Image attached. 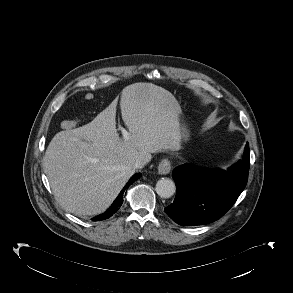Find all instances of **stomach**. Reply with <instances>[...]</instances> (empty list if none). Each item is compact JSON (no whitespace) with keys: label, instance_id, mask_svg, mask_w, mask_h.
I'll return each instance as SVG.
<instances>
[{"label":"stomach","instance_id":"0dacf381","mask_svg":"<svg viewBox=\"0 0 293 293\" xmlns=\"http://www.w3.org/2000/svg\"><path fill=\"white\" fill-rule=\"evenodd\" d=\"M178 107H179V115H180L181 114V109H180L179 105H178ZM180 130H181V132H180L181 133V139L187 141L189 139V136H190L189 130L184 125H180Z\"/></svg>","mask_w":293,"mask_h":293}]
</instances>
